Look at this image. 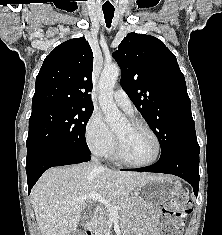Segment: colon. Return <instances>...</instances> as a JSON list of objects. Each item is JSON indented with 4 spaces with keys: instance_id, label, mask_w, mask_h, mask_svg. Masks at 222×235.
<instances>
[{
    "instance_id": "1",
    "label": "colon",
    "mask_w": 222,
    "mask_h": 235,
    "mask_svg": "<svg viewBox=\"0 0 222 235\" xmlns=\"http://www.w3.org/2000/svg\"><path fill=\"white\" fill-rule=\"evenodd\" d=\"M192 211V205L185 193H178L164 207L165 219L163 222L162 235H179L181 226L179 219L184 218ZM72 235H83L74 233Z\"/></svg>"
}]
</instances>
